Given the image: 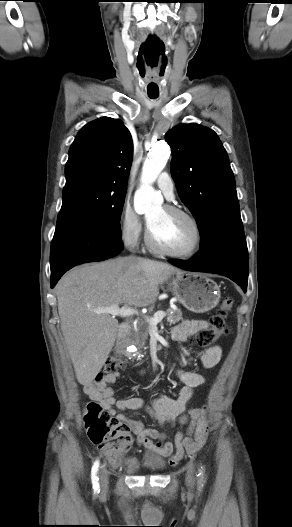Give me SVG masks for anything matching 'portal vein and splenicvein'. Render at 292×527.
I'll list each match as a JSON object with an SVG mask.
<instances>
[{
    "instance_id": "obj_1",
    "label": "portal vein and splenic vein",
    "mask_w": 292,
    "mask_h": 527,
    "mask_svg": "<svg viewBox=\"0 0 292 527\" xmlns=\"http://www.w3.org/2000/svg\"><path fill=\"white\" fill-rule=\"evenodd\" d=\"M96 313H108L112 316L130 317L137 314V310L130 307L120 308L118 304L112 305L107 308L98 309ZM166 316L163 311L155 313L153 317L147 318L150 326L157 325Z\"/></svg>"
}]
</instances>
